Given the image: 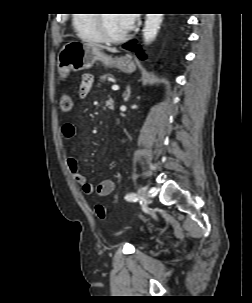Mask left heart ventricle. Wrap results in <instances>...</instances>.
I'll use <instances>...</instances> for the list:
<instances>
[{
    "label": "left heart ventricle",
    "instance_id": "b2bd125f",
    "mask_svg": "<svg viewBox=\"0 0 252 303\" xmlns=\"http://www.w3.org/2000/svg\"><path fill=\"white\" fill-rule=\"evenodd\" d=\"M104 27L109 34L114 36L124 34L127 31L121 14H105Z\"/></svg>",
    "mask_w": 252,
    "mask_h": 303
}]
</instances>
